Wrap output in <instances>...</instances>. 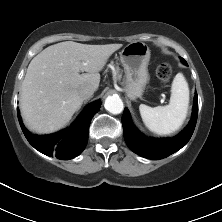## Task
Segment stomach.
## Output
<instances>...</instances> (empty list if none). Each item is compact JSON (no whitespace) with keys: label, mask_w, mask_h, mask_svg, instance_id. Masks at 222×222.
<instances>
[{"label":"stomach","mask_w":222,"mask_h":222,"mask_svg":"<svg viewBox=\"0 0 222 222\" xmlns=\"http://www.w3.org/2000/svg\"><path fill=\"white\" fill-rule=\"evenodd\" d=\"M120 60L125 70V93L133 100L141 97L149 81V47L141 41L131 42L120 52Z\"/></svg>","instance_id":"1"}]
</instances>
